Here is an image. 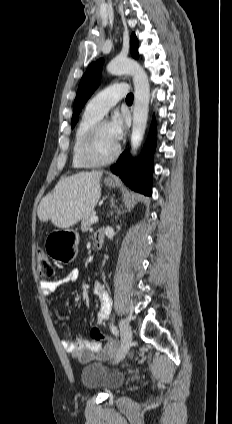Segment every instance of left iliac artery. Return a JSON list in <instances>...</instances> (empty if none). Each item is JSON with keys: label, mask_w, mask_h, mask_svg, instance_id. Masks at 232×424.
<instances>
[{"label": "left iliac artery", "mask_w": 232, "mask_h": 424, "mask_svg": "<svg viewBox=\"0 0 232 424\" xmlns=\"http://www.w3.org/2000/svg\"><path fill=\"white\" fill-rule=\"evenodd\" d=\"M102 311H103V313H104L105 318L109 317V315H110V313H111V304H108L107 306H105V307L102 309ZM111 331H112V333H113L115 336H117V335H118L117 327H116L115 325H113V324H112V326H111Z\"/></svg>", "instance_id": "left-iliac-artery-1"}]
</instances>
